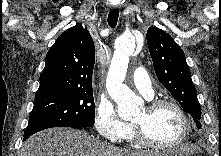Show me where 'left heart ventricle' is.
Returning <instances> with one entry per match:
<instances>
[{
	"instance_id": "b2bd125f",
	"label": "left heart ventricle",
	"mask_w": 221,
	"mask_h": 156,
	"mask_svg": "<svg viewBox=\"0 0 221 156\" xmlns=\"http://www.w3.org/2000/svg\"><path fill=\"white\" fill-rule=\"evenodd\" d=\"M134 122L142 126L151 141L163 145L174 143L183 130L179 114L171 107H162L154 113L146 107Z\"/></svg>"
}]
</instances>
